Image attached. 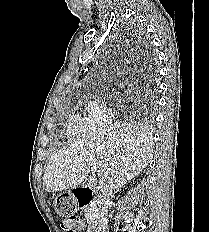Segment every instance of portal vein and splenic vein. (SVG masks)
<instances>
[{
  "mask_svg": "<svg viewBox=\"0 0 209 232\" xmlns=\"http://www.w3.org/2000/svg\"><path fill=\"white\" fill-rule=\"evenodd\" d=\"M96 171H97V169L95 167H92L90 169V172H91L92 175H94L96 173Z\"/></svg>",
  "mask_w": 209,
  "mask_h": 232,
  "instance_id": "18ae733b",
  "label": "portal vein and splenic vein"
}]
</instances>
